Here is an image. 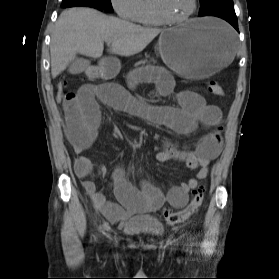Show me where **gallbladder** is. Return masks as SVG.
Wrapping results in <instances>:
<instances>
[{
	"instance_id": "obj_1",
	"label": "gallbladder",
	"mask_w": 279,
	"mask_h": 279,
	"mask_svg": "<svg viewBox=\"0 0 279 279\" xmlns=\"http://www.w3.org/2000/svg\"><path fill=\"white\" fill-rule=\"evenodd\" d=\"M89 64V61L82 58H77L70 63L68 71L70 74H80L89 67Z\"/></svg>"
}]
</instances>
